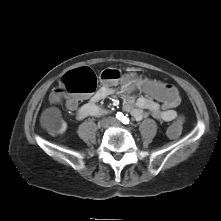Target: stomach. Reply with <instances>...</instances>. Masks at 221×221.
Wrapping results in <instances>:
<instances>
[{
	"label": "stomach",
	"instance_id": "0dacf381",
	"mask_svg": "<svg viewBox=\"0 0 221 221\" xmlns=\"http://www.w3.org/2000/svg\"><path fill=\"white\" fill-rule=\"evenodd\" d=\"M132 75H133V73L125 75L124 78H123V81H122V83H123V85L126 87V89H127V90H130V91H131L132 89L130 88L129 80H130V77H131Z\"/></svg>",
	"mask_w": 221,
	"mask_h": 221
}]
</instances>
